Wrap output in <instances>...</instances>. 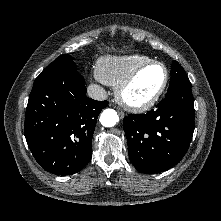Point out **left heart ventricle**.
<instances>
[{
	"label": "left heart ventricle",
	"instance_id": "1",
	"mask_svg": "<svg viewBox=\"0 0 221 221\" xmlns=\"http://www.w3.org/2000/svg\"><path fill=\"white\" fill-rule=\"evenodd\" d=\"M164 79V70L160 66H151L146 69L128 90L127 96L135 101H142L152 96L161 86Z\"/></svg>",
	"mask_w": 221,
	"mask_h": 221
}]
</instances>
